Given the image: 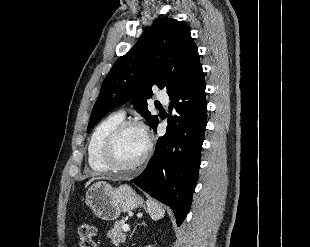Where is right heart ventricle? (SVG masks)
Instances as JSON below:
<instances>
[{"label": "right heart ventricle", "mask_w": 310, "mask_h": 247, "mask_svg": "<svg viewBox=\"0 0 310 247\" xmlns=\"http://www.w3.org/2000/svg\"><path fill=\"white\" fill-rule=\"evenodd\" d=\"M122 120H124L122 113H112L101 120L94 128L87 148L88 164L94 172L106 173L108 171L101 160V148L109 132Z\"/></svg>", "instance_id": "1"}]
</instances>
